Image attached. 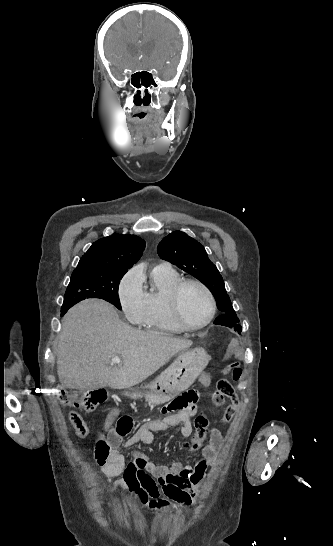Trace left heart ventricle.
<instances>
[{"mask_svg": "<svg viewBox=\"0 0 333 546\" xmlns=\"http://www.w3.org/2000/svg\"><path fill=\"white\" fill-rule=\"evenodd\" d=\"M182 315L187 323L199 325L203 323L210 312L209 300L204 291L196 285H187L180 296Z\"/></svg>", "mask_w": 333, "mask_h": 546, "instance_id": "obj_1", "label": "left heart ventricle"}]
</instances>
